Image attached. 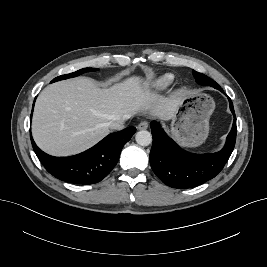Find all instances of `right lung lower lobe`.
<instances>
[{"label":"right lung lower lobe","mask_w":267,"mask_h":267,"mask_svg":"<svg viewBox=\"0 0 267 267\" xmlns=\"http://www.w3.org/2000/svg\"><path fill=\"white\" fill-rule=\"evenodd\" d=\"M135 131V127H128L109 134L87 151L70 157L50 156L37 147L31 134L30 137L37 157L50 174L68 183L86 185L101 181L111 172Z\"/></svg>","instance_id":"98d812e1"}]
</instances>
